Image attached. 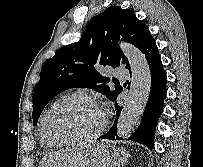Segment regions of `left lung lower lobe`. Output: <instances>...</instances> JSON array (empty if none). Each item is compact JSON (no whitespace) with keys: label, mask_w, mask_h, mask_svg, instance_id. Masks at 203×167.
<instances>
[{"label":"left lung lower lobe","mask_w":203,"mask_h":167,"mask_svg":"<svg viewBox=\"0 0 203 167\" xmlns=\"http://www.w3.org/2000/svg\"><path fill=\"white\" fill-rule=\"evenodd\" d=\"M142 53L149 64L151 72V88L149 98L142 116L141 123L129 140L146 145L150 149L154 148V133L158 118L163 112L164 99L166 98L167 76L163 69L159 51L155 40H151L143 49ZM130 69V68H128ZM116 119L111 129L101 136L104 139H115L117 120L122 107L115 102ZM118 138V137H117Z\"/></svg>","instance_id":"left-lung-lower-lobe-1"}]
</instances>
